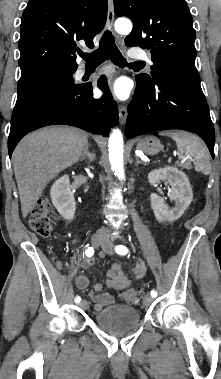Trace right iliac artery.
I'll use <instances>...</instances> for the list:
<instances>
[{
  "label": "right iliac artery",
  "mask_w": 221,
  "mask_h": 379,
  "mask_svg": "<svg viewBox=\"0 0 221 379\" xmlns=\"http://www.w3.org/2000/svg\"><path fill=\"white\" fill-rule=\"evenodd\" d=\"M86 256L91 257L94 254V248L93 247H88L85 251ZM75 303H79L81 301L80 296H76L74 299Z\"/></svg>",
  "instance_id": "right-iliac-artery-1"
}]
</instances>
